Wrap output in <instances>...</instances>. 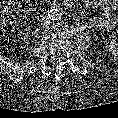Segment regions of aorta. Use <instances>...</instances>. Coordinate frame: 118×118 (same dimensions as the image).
Masks as SVG:
<instances>
[{
    "label": "aorta",
    "mask_w": 118,
    "mask_h": 118,
    "mask_svg": "<svg viewBox=\"0 0 118 118\" xmlns=\"http://www.w3.org/2000/svg\"><path fill=\"white\" fill-rule=\"evenodd\" d=\"M48 17L52 20H56L60 17V12L59 10L57 9H51L49 12H48Z\"/></svg>",
    "instance_id": "1"
}]
</instances>
